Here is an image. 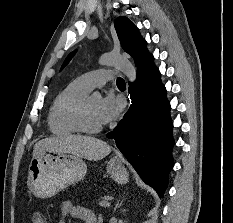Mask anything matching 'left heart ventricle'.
I'll return each mask as SVG.
<instances>
[{
	"mask_svg": "<svg viewBox=\"0 0 233 223\" xmlns=\"http://www.w3.org/2000/svg\"><path fill=\"white\" fill-rule=\"evenodd\" d=\"M99 99L90 97L87 104V120L91 126L100 125L97 118V107L99 104Z\"/></svg>",
	"mask_w": 233,
	"mask_h": 223,
	"instance_id": "left-heart-ventricle-1",
	"label": "left heart ventricle"
}]
</instances>
